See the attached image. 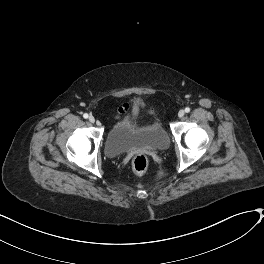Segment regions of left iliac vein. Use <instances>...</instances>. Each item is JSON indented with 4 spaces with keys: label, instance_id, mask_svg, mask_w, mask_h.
<instances>
[{
    "label": "left iliac vein",
    "instance_id": "left-iliac-vein-1",
    "mask_svg": "<svg viewBox=\"0 0 264 264\" xmlns=\"http://www.w3.org/2000/svg\"><path fill=\"white\" fill-rule=\"evenodd\" d=\"M184 114H185L184 110H180V111L178 112V116H179V117H183Z\"/></svg>",
    "mask_w": 264,
    "mask_h": 264
}]
</instances>
